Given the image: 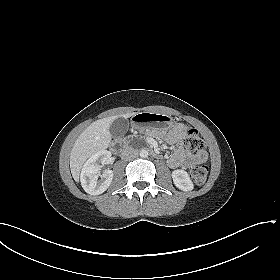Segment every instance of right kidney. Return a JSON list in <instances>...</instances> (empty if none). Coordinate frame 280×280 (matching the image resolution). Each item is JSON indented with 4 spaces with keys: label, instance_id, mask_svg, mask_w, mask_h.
Here are the masks:
<instances>
[{
    "label": "right kidney",
    "instance_id": "obj_1",
    "mask_svg": "<svg viewBox=\"0 0 280 280\" xmlns=\"http://www.w3.org/2000/svg\"><path fill=\"white\" fill-rule=\"evenodd\" d=\"M111 158V153L107 150H101L93 154L83 165L80 181L83 189L90 195H99L104 193L110 186L113 179V171L105 170L100 175V164H106Z\"/></svg>",
    "mask_w": 280,
    "mask_h": 280
}]
</instances>
